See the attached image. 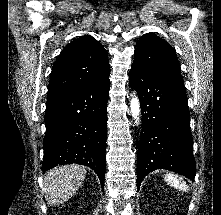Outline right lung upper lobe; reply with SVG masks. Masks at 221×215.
Instances as JSON below:
<instances>
[{"label":"right lung upper lobe","mask_w":221,"mask_h":215,"mask_svg":"<svg viewBox=\"0 0 221 215\" xmlns=\"http://www.w3.org/2000/svg\"><path fill=\"white\" fill-rule=\"evenodd\" d=\"M110 74L107 51L91 36L69 43L53 65L47 101L70 94Z\"/></svg>","instance_id":"obj_1"}]
</instances>
